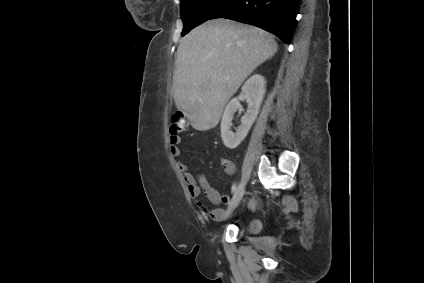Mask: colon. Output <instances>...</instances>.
Here are the masks:
<instances>
[{
    "instance_id": "5ec220e1",
    "label": "colon",
    "mask_w": 424,
    "mask_h": 283,
    "mask_svg": "<svg viewBox=\"0 0 424 283\" xmlns=\"http://www.w3.org/2000/svg\"><path fill=\"white\" fill-rule=\"evenodd\" d=\"M170 122V131L173 135L184 132L187 128V121L184 117V114L180 111L172 113Z\"/></svg>"
}]
</instances>
